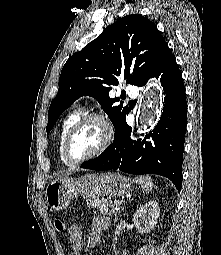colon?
<instances>
[{"label":"colon","instance_id":"colon-1","mask_svg":"<svg viewBox=\"0 0 221 255\" xmlns=\"http://www.w3.org/2000/svg\"><path fill=\"white\" fill-rule=\"evenodd\" d=\"M55 224H56L57 229L60 231H69L71 234H75L78 231V228L68 226L62 220H56Z\"/></svg>","mask_w":221,"mask_h":255}]
</instances>
